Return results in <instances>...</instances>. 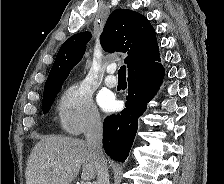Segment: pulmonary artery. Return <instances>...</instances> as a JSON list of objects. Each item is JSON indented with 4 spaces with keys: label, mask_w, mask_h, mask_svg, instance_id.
Wrapping results in <instances>:
<instances>
[{
    "label": "pulmonary artery",
    "mask_w": 224,
    "mask_h": 184,
    "mask_svg": "<svg viewBox=\"0 0 224 184\" xmlns=\"http://www.w3.org/2000/svg\"><path fill=\"white\" fill-rule=\"evenodd\" d=\"M115 69L116 67L114 65H110L107 68L108 75L105 77V80H104V83L107 87L114 88L118 84L116 77L113 75V73L115 72Z\"/></svg>",
    "instance_id": "pulmonary-artery-1"
}]
</instances>
